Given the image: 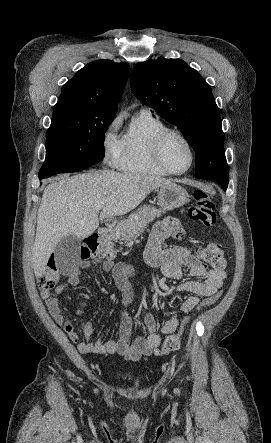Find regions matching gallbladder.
I'll use <instances>...</instances> for the list:
<instances>
[{
  "label": "gallbladder",
  "instance_id": "bac80fb5",
  "mask_svg": "<svg viewBox=\"0 0 271 443\" xmlns=\"http://www.w3.org/2000/svg\"><path fill=\"white\" fill-rule=\"evenodd\" d=\"M80 239L77 235L63 237L55 247L57 273H76L82 268Z\"/></svg>",
  "mask_w": 271,
  "mask_h": 443
}]
</instances>
